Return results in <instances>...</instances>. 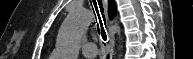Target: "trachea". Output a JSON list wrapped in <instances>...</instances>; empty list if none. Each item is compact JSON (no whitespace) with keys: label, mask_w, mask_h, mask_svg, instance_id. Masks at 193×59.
<instances>
[{"label":"trachea","mask_w":193,"mask_h":59,"mask_svg":"<svg viewBox=\"0 0 193 59\" xmlns=\"http://www.w3.org/2000/svg\"><path fill=\"white\" fill-rule=\"evenodd\" d=\"M98 5H99L100 13H101V16H102V19H103V22H104V25H105V28H106V21H105V16L103 14L104 9H103L102 2L98 3ZM99 9H98V6L96 4L95 5V10H96V13H97V16H98V19H99V24L97 25V27H98V30H99V25H100L101 31H99V34L101 33V36H102L103 40H107L106 32H105L103 22H102L100 13H99Z\"/></svg>","instance_id":"3493384b"}]
</instances>
